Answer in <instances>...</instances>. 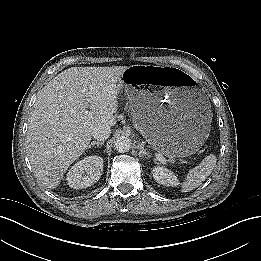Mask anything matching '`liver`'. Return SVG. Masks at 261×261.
Wrapping results in <instances>:
<instances>
[{"label":"liver","mask_w":261,"mask_h":261,"mask_svg":"<svg viewBox=\"0 0 261 261\" xmlns=\"http://www.w3.org/2000/svg\"><path fill=\"white\" fill-rule=\"evenodd\" d=\"M127 68L71 67L39 92L26 142L34 174L44 187L58 186L88 148L96 127L116 124L118 82Z\"/></svg>","instance_id":"obj_1"}]
</instances>
